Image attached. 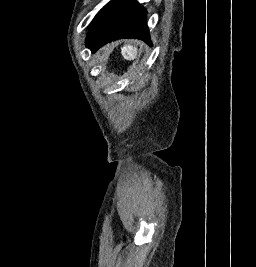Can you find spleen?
I'll return each instance as SVG.
<instances>
[{
  "mask_svg": "<svg viewBox=\"0 0 256 267\" xmlns=\"http://www.w3.org/2000/svg\"><path fill=\"white\" fill-rule=\"evenodd\" d=\"M121 54L124 60H129V62H131V60L137 58L138 50L134 48V46H123V48H121Z\"/></svg>",
  "mask_w": 256,
  "mask_h": 267,
  "instance_id": "spleen-1",
  "label": "spleen"
}]
</instances>
